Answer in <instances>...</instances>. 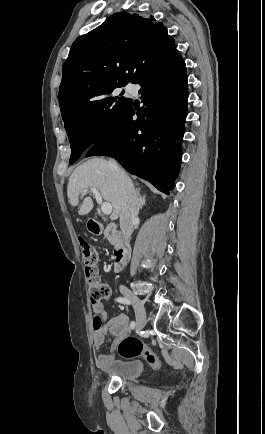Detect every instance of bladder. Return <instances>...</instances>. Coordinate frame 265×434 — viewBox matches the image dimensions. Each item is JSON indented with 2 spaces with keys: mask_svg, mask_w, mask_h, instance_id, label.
I'll list each match as a JSON object with an SVG mask.
<instances>
[{
  "mask_svg": "<svg viewBox=\"0 0 265 434\" xmlns=\"http://www.w3.org/2000/svg\"><path fill=\"white\" fill-rule=\"evenodd\" d=\"M145 370V365L139 360H128L114 363L110 368V373L125 380L133 381L137 379Z\"/></svg>",
  "mask_w": 265,
  "mask_h": 434,
  "instance_id": "1",
  "label": "bladder"
}]
</instances>
